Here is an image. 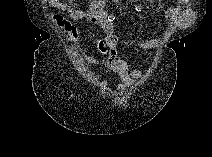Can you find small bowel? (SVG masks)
<instances>
[{
  "mask_svg": "<svg viewBox=\"0 0 212 157\" xmlns=\"http://www.w3.org/2000/svg\"><path fill=\"white\" fill-rule=\"evenodd\" d=\"M118 3L119 0H112L110 4L117 5ZM45 4L67 13L72 21L78 23V26L74 25L61 14L52 16L53 23L66 32L72 43H76L83 34L84 22L93 23L104 32V37H90V40L101 54V58L97 59L86 54H82V56L88 63L102 65L112 74L118 76L120 79L118 88L120 90L130 87L135 80L143 77L142 69L130 68L125 60L119 58L122 45L115 34L113 18L107 9L109 3L102 1L91 2L84 9L68 0H46ZM186 11L185 5L171 7L166 10L165 18L168 22L179 25L186 20ZM158 45V39H149L135 44L137 48L142 50L153 49ZM99 85L101 88H107L109 79L101 80Z\"/></svg>",
  "mask_w": 212,
  "mask_h": 157,
  "instance_id": "c3829d8e",
  "label": "small bowel"
}]
</instances>
